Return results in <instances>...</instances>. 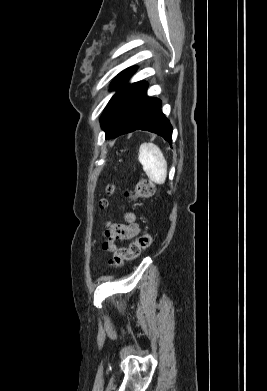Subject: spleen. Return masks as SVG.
<instances>
[{
	"instance_id": "3e777b00",
	"label": "spleen",
	"mask_w": 267,
	"mask_h": 391,
	"mask_svg": "<svg viewBox=\"0 0 267 391\" xmlns=\"http://www.w3.org/2000/svg\"><path fill=\"white\" fill-rule=\"evenodd\" d=\"M138 160L148 178L156 184H164L167 177V162L158 146L143 143L139 148Z\"/></svg>"
}]
</instances>
